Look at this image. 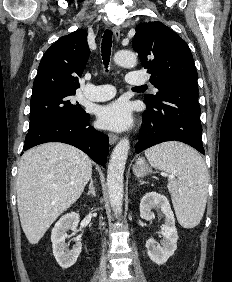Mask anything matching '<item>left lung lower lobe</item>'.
<instances>
[{
  "instance_id": "left-lung-lower-lobe-1",
  "label": "left lung lower lobe",
  "mask_w": 232,
  "mask_h": 282,
  "mask_svg": "<svg viewBox=\"0 0 232 282\" xmlns=\"http://www.w3.org/2000/svg\"><path fill=\"white\" fill-rule=\"evenodd\" d=\"M147 104L135 152L166 141L186 143L205 154L198 92L167 91L157 104Z\"/></svg>"
}]
</instances>
